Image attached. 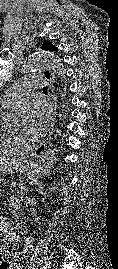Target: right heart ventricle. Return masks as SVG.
<instances>
[{
  "instance_id": "1",
  "label": "right heart ventricle",
  "mask_w": 118,
  "mask_h": 269,
  "mask_svg": "<svg viewBox=\"0 0 118 269\" xmlns=\"http://www.w3.org/2000/svg\"><path fill=\"white\" fill-rule=\"evenodd\" d=\"M20 150V147L15 145L7 135L0 134V154H14Z\"/></svg>"
}]
</instances>
